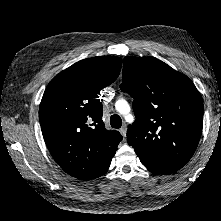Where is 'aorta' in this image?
Listing matches in <instances>:
<instances>
[{"instance_id": "762f6f07", "label": "aorta", "mask_w": 221, "mask_h": 221, "mask_svg": "<svg viewBox=\"0 0 221 221\" xmlns=\"http://www.w3.org/2000/svg\"><path fill=\"white\" fill-rule=\"evenodd\" d=\"M120 104H121V106H120ZM127 108H129V106H128V103L125 101V100H118L117 102H116V109L119 111V112H123V110H125V109H127Z\"/></svg>"}]
</instances>
